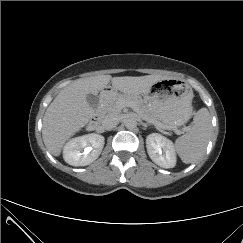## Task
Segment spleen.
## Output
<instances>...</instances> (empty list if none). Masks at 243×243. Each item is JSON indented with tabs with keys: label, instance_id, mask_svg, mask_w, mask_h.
<instances>
[{
	"label": "spleen",
	"instance_id": "3e777b00",
	"mask_svg": "<svg viewBox=\"0 0 243 243\" xmlns=\"http://www.w3.org/2000/svg\"><path fill=\"white\" fill-rule=\"evenodd\" d=\"M211 131L210 113L201 108L195 113L189 131L175 141V150L184 163H193L204 155Z\"/></svg>",
	"mask_w": 243,
	"mask_h": 243
}]
</instances>
